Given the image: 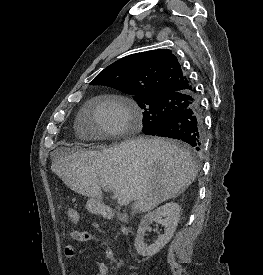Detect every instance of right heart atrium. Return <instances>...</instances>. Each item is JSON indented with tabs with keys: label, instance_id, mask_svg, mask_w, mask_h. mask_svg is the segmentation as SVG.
Masks as SVG:
<instances>
[{
	"label": "right heart atrium",
	"instance_id": "right-heart-atrium-1",
	"mask_svg": "<svg viewBox=\"0 0 263 275\" xmlns=\"http://www.w3.org/2000/svg\"><path fill=\"white\" fill-rule=\"evenodd\" d=\"M95 118L107 136L125 132L131 127V111L121 101L108 99L96 106Z\"/></svg>",
	"mask_w": 263,
	"mask_h": 275
}]
</instances>
